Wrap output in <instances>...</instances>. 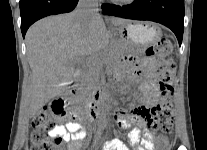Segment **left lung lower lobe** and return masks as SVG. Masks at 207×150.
<instances>
[{"instance_id":"obj_1","label":"left lung lower lobe","mask_w":207,"mask_h":150,"mask_svg":"<svg viewBox=\"0 0 207 150\" xmlns=\"http://www.w3.org/2000/svg\"><path fill=\"white\" fill-rule=\"evenodd\" d=\"M102 9L112 16L161 23L175 33L179 45L182 43L184 0H137L124 6L104 4Z\"/></svg>"}]
</instances>
